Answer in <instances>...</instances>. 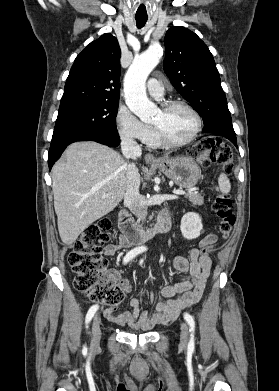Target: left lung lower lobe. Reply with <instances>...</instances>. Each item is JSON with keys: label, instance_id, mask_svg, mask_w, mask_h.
<instances>
[{"label": "left lung lower lobe", "instance_id": "0a47b994", "mask_svg": "<svg viewBox=\"0 0 279 391\" xmlns=\"http://www.w3.org/2000/svg\"><path fill=\"white\" fill-rule=\"evenodd\" d=\"M215 135H220V136L226 137L227 139H229L237 147V145H236V143H237L236 135H225V134H215Z\"/></svg>", "mask_w": 279, "mask_h": 391}]
</instances>
